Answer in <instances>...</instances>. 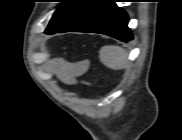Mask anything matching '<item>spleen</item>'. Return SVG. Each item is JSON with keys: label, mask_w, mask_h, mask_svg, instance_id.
I'll return each mask as SVG.
<instances>
[{"label": "spleen", "mask_w": 182, "mask_h": 140, "mask_svg": "<svg viewBox=\"0 0 182 140\" xmlns=\"http://www.w3.org/2000/svg\"><path fill=\"white\" fill-rule=\"evenodd\" d=\"M127 51L119 46H104L100 50L102 63L111 69L119 70L127 66Z\"/></svg>", "instance_id": "3e777b00"}]
</instances>
